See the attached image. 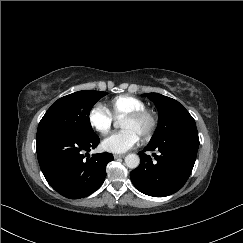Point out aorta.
<instances>
[{"label": "aorta", "instance_id": "762f6f07", "mask_svg": "<svg viewBox=\"0 0 243 243\" xmlns=\"http://www.w3.org/2000/svg\"><path fill=\"white\" fill-rule=\"evenodd\" d=\"M116 126V124H115ZM140 164V158L138 155L136 154H128L126 157H125V165L128 167V168H131V169H135L139 166Z\"/></svg>", "mask_w": 243, "mask_h": 243}]
</instances>
